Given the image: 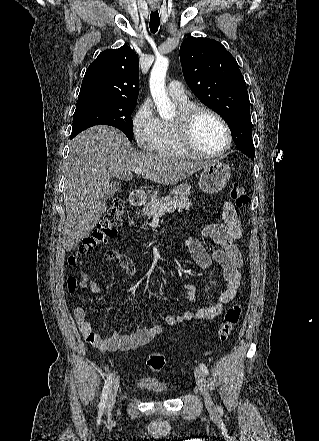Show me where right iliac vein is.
<instances>
[{
  "label": "right iliac vein",
  "mask_w": 319,
  "mask_h": 441,
  "mask_svg": "<svg viewBox=\"0 0 319 441\" xmlns=\"http://www.w3.org/2000/svg\"><path fill=\"white\" fill-rule=\"evenodd\" d=\"M118 389H119V380L116 379L110 392H109V396L107 399V406H106V411L107 413H110L114 407L115 401H116V396L118 393Z\"/></svg>",
  "instance_id": "obj_1"
}]
</instances>
